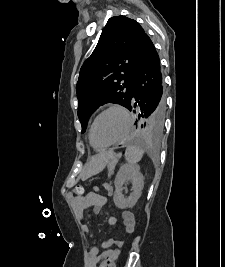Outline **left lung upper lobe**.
I'll return each instance as SVG.
<instances>
[{"mask_svg":"<svg viewBox=\"0 0 225 267\" xmlns=\"http://www.w3.org/2000/svg\"><path fill=\"white\" fill-rule=\"evenodd\" d=\"M147 34L140 24L125 16L108 20L98 44L84 62L76 86L78 117L85 132L90 115L111 102L129 109L136 65ZM143 133L159 135L152 116L136 120Z\"/></svg>","mask_w":225,"mask_h":267,"instance_id":"1","label":"left lung upper lobe"}]
</instances>
